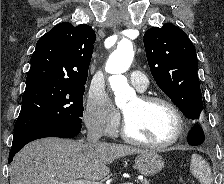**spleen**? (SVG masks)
<instances>
[{"instance_id":"3e777b00","label":"spleen","mask_w":224,"mask_h":184,"mask_svg":"<svg viewBox=\"0 0 224 184\" xmlns=\"http://www.w3.org/2000/svg\"><path fill=\"white\" fill-rule=\"evenodd\" d=\"M190 171L201 184H212V173L208 163L198 154L191 156Z\"/></svg>"}]
</instances>
